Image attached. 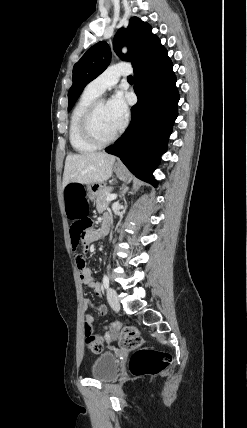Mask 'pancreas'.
I'll use <instances>...</instances> for the list:
<instances>
[{
	"label": "pancreas",
	"instance_id": "1",
	"mask_svg": "<svg viewBox=\"0 0 247 428\" xmlns=\"http://www.w3.org/2000/svg\"><path fill=\"white\" fill-rule=\"evenodd\" d=\"M112 187L102 186L97 193L96 197V208L101 213L103 212L109 205V201L106 200V197L112 191Z\"/></svg>",
	"mask_w": 247,
	"mask_h": 428
}]
</instances>
